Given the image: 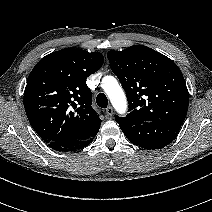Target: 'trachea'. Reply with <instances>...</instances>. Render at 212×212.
<instances>
[{"label":"trachea","mask_w":212,"mask_h":212,"mask_svg":"<svg viewBox=\"0 0 212 212\" xmlns=\"http://www.w3.org/2000/svg\"><path fill=\"white\" fill-rule=\"evenodd\" d=\"M96 103L101 108H106L108 105V99L104 93H99L96 98Z\"/></svg>","instance_id":"1"}]
</instances>
